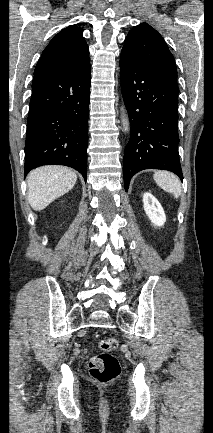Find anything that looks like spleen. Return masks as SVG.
Instances as JSON below:
<instances>
[{"label":"spleen","instance_id":"spleen-1","mask_svg":"<svg viewBox=\"0 0 213 433\" xmlns=\"http://www.w3.org/2000/svg\"><path fill=\"white\" fill-rule=\"evenodd\" d=\"M157 185L164 191L171 193L175 198L181 194V183L174 174L167 171H158L153 176Z\"/></svg>","mask_w":213,"mask_h":433}]
</instances>
